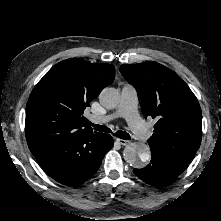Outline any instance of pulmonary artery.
Wrapping results in <instances>:
<instances>
[{
    "instance_id": "obj_1",
    "label": "pulmonary artery",
    "mask_w": 221,
    "mask_h": 221,
    "mask_svg": "<svg viewBox=\"0 0 221 221\" xmlns=\"http://www.w3.org/2000/svg\"><path fill=\"white\" fill-rule=\"evenodd\" d=\"M138 94L134 86L126 84L121 91V102L118 109L104 116H90V120L97 124H104L112 121L115 118L123 117L126 119L129 127L134 134L142 141H147L151 138V130L142 121L137 112Z\"/></svg>"
}]
</instances>
